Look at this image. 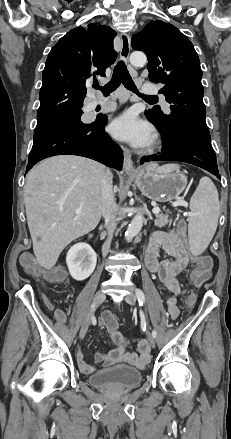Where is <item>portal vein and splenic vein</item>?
Listing matches in <instances>:
<instances>
[{
    "label": "portal vein and splenic vein",
    "mask_w": 231,
    "mask_h": 439,
    "mask_svg": "<svg viewBox=\"0 0 231 439\" xmlns=\"http://www.w3.org/2000/svg\"><path fill=\"white\" fill-rule=\"evenodd\" d=\"M183 203H184L183 201L176 202V203H173V206H179V205H182ZM81 212H82L81 208H77L76 211H75L76 214H80ZM152 212L154 214H158L160 212V208L159 207H154L152 209Z\"/></svg>",
    "instance_id": "portal-vein-and-splenic-vein-1"
}]
</instances>
